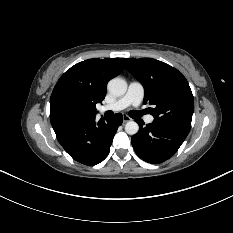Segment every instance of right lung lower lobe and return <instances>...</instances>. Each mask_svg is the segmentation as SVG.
<instances>
[{
  "label": "right lung lower lobe",
  "mask_w": 233,
  "mask_h": 233,
  "mask_svg": "<svg viewBox=\"0 0 233 233\" xmlns=\"http://www.w3.org/2000/svg\"><path fill=\"white\" fill-rule=\"evenodd\" d=\"M120 113L113 118L95 121V115L74 118L53 125L56 137L65 151L76 161L95 165L110 151L113 137L122 124Z\"/></svg>",
  "instance_id": "obj_1"
}]
</instances>
